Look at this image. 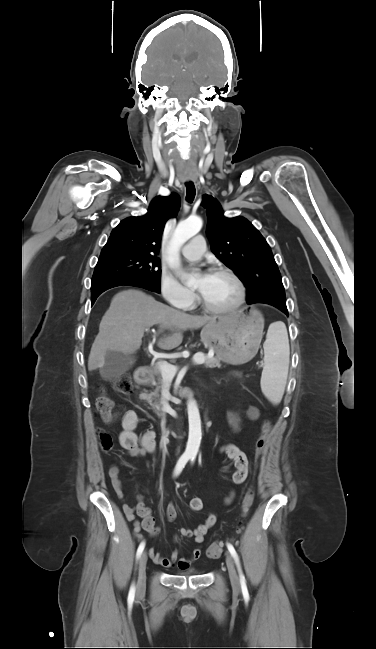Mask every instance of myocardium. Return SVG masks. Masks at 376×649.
Instances as JSON below:
<instances>
[{"label":"myocardium","instance_id":"obj_1","mask_svg":"<svg viewBox=\"0 0 376 649\" xmlns=\"http://www.w3.org/2000/svg\"><path fill=\"white\" fill-rule=\"evenodd\" d=\"M212 273H222L228 275L236 284L238 289V297L231 305L218 308L213 307L207 303L202 294L198 291L197 300L199 305L207 312L216 315L230 314L238 310L245 302L246 299V287L242 279L230 268L225 266H217L212 269Z\"/></svg>","mask_w":376,"mask_h":649}]
</instances>
